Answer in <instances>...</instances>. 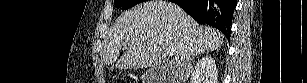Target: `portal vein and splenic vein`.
<instances>
[{"label":"portal vein and splenic vein","mask_w":307,"mask_h":83,"mask_svg":"<svg viewBox=\"0 0 307 83\" xmlns=\"http://www.w3.org/2000/svg\"><path fill=\"white\" fill-rule=\"evenodd\" d=\"M163 54L165 56H172V55H174V50L167 49V50H165V52Z\"/></svg>","instance_id":"portal-vein-and-splenic-vein-1"}]
</instances>
